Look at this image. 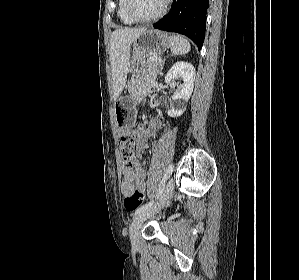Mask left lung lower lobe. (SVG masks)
<instances>
[{"mask_svg":"<svg viewBox=\"0 0 299 280\" xmlns=\"http://www.w3.org/2000/svg\"><path fill=\"white\" fill-rule=\"evenodd\" d=\"M209 0H174L170 12L153 27L186 35L200 50L206 29Z\"/></svg>","mask_w":299,"mask_h":280,"instance_id":"1","label":"left lung lower lobe"}]
</instances>
